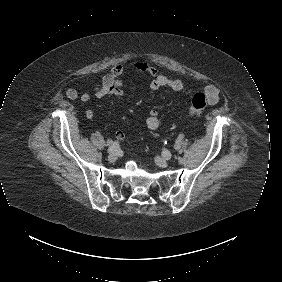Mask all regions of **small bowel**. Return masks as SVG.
<instances>
[{
    "instance_id": "1",
    "label": "small bowel",
    "mask_w": 282,
    "mask_h": 282,
    "mask_svg": "<svg viewBox=\"0 0 282 282\" xmlns=\"http://www.w3.org/2000/svg\"><path fill=\"white\" fill-rule=\"evenodd\" d=\"M132 66L142 72L149 74L152 77V81L150 83V90L157 91L160 88L167 87L174 91L181 92L186 89L185 84L178 80L169 78L159 72V70L144 61L135 60L132 63ZM123 74V66L120 64L115 65L110 73H108L102 80V82L95 86L92 89V92L95 97L101 98L107 95H113L118 98H122L124 95L123 91V81L121 76ZM204 93L207 96L208 103L210 105H215L219 101V89L215 85H207L204 88ZM84 96H87L88 99L84 100ZM66 97L70 100H75L79 97V92L76 88L70 87L66 91ZM80 100L82 102H87L89 100L88 94H82L80 96ZM95 116V112L92 109H89L86 112V117L89 120H92ZM146 125L151 130H156L161 127L162 120L158 116L157 113H151L146 120ZM124 132L122 130H117L115 133V137L118 140L124 139Z\"/></svg>"
}]
</instances>
